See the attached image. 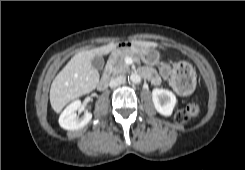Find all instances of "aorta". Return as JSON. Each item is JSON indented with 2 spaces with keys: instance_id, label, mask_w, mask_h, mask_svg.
Returning a JSON list of instances; mask_svg holds the SVG:
<instances>
[{
  "instance_id": "1",
  "label": "aorta",
  "mask_w": 245,
  "mask_h": 170,
  "mask_svg": "<svg viewBox=\"0 0 245 170\" xmlns=\"http://www.w3.org/2000/svg\"><path fill=\"white\" fill-rule=\"evenodd\" d=\"M130 81H131L132 83H134V84H138V83H140V81H141V77H140V75L137 74V73H132V74L130 75Z\"/></svg>"
}]
</instances>
